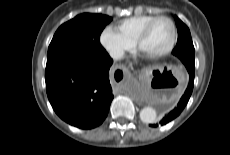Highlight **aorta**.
Instances as JSON below:
<instances>
[{
  "label": "aorta",
  "mask_w": 230,
  "mask_h": 155,
  "mask_svg": "<svg viewBox=\"0 0 230 155\" xmlns=\"http://www.w3.org/2000/svg\"><path fill=\"white\" fill-rule=\"evenodd\" d=\"M140 119L143 123H155L157 119L156 110L152 107H145L140 111Z\"/></svg>",
  "instance_id": "1"
}]
</instances>
